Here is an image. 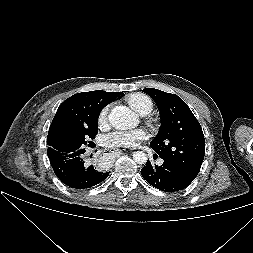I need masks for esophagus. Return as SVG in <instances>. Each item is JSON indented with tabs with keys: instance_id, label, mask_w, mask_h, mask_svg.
<instances>
[{
	"instance_id": "1",
	"label": "esophagus",
	"mask_w": 253,
	"mask_h": 253,
	"mask_svg": "<svg viewBox=\"0 0 253 253\" xmlns=\"http://www.w3.org/2000/svg\"><path fill=\"white\" fill-rule=\"evenodd\" d=\"M107 154L120 155L122 151L118 148H110L105 151Z\"/></svg>"
}]
</instances>
